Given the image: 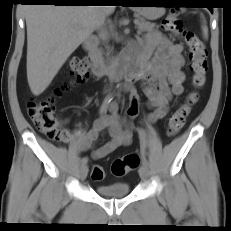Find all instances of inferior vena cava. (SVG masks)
Instances as JSON below:
<instances>
[{
  "label": "inferior vena cava",
  "mask_w": 231,
  "mask_h": 231,
  "mask_svg": "<svg viewBox=\"0 0 231 231\" xmlns=\"http://www.w3.org/2000/svg\"><path fill=\"white\" fill-rule=\"evenodd\" d=\"M107 15H108V11L106 7L100 6L98 9V27H102L104 25ZM100 36L104 39L106 37V33L101 32Z\"/></svg>",
  "instance_id": "inferior-vena-cava-1"
}]
</instances>
